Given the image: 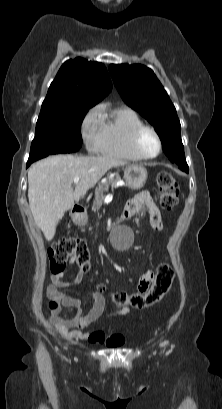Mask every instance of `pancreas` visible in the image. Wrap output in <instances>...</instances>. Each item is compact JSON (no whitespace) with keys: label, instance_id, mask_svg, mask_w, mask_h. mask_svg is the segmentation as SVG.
I'll return each mask as SVG.
<instances>
[{"label":"pancreas","instance_id":"1","mask_svg":"<svg viewBox=\"0 0 222 409\" xmlns=\"http://www.w3.org/2000/svg\"><path fill=\"white\" fill-rule=\"evenodd\" d=\"M119 181H121L120 176L115 175V177L109 178L105 182L99 184L98 188L95 190V200L92 206L93 210H96L101 206L105 197L104 193L108 191L109 186H114Z\"/></svg>","mask_w":222,"mask_h":409}]
</instances>
